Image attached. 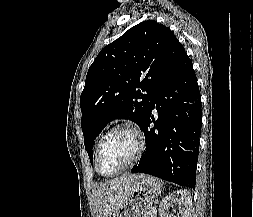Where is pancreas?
Here are the masks:
<instances>
[{
  "instance_id": "obj_1",
  "label": "pancreas",
  "mask_w": 253,
  "mask_h": 217,
  "mask_svg": "<svg viewBox=\"0 0 253 217\" xmlns=\"http://www.w3.org/2000/svg\"><path fill=\"white\" fill-rule=\"evenodd\" d=\"M152 208H149V210L144 214L143 217H156V213L152 212Z\"/></svg>"
}]
</instances>
